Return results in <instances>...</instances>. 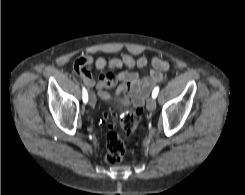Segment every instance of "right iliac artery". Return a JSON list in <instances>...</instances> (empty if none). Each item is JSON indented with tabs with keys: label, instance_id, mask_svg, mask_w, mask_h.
I'll use <instances>...</instances> for the list:
<instances>
[{
	"label": "right iliac artery",
	"instance_id": "82829eb1",
	"mask_svg": "<svg viewBox=\"0 0 245 195\" xmlns=\"http://www.w3.org/2000/svg\"><path fill=\"white\" fill-rule=\"evenodd\" d=\"M82 99L84 103L88 101V93L85 87L82 88Z\"/></svg>",
	"mask_w": 245,
	"mask_h": 195
}]
</instances>
